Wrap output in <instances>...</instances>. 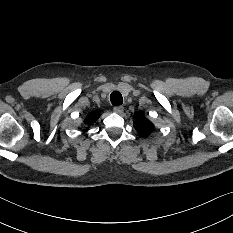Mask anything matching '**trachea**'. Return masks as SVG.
<instances>
[{
  "label": "trachea",
  "instance_id": "1",
  "mask_svg": "<svg viewBox=\"0 0 233 233\" xmlns=\"http://www.w3.org/2000/svg\"><path fill=\"white\" fill-rule=\"evenodd\" d=\"M110 100L114 106L121 105L123 102L122 95L117 91L111 93Z\"/></svg>",
  "mask_w": 233,
  "mask_h": 233
}]
</instances>
